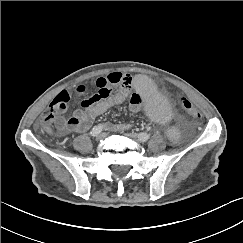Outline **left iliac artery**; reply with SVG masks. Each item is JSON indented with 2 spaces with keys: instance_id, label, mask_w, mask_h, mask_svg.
Returning <instances> with one entry per match:
<instances>
[{
  "instance_id": "obj_1",
  "label": "left iliac artery",
  "mask_w": 243,
  "mask_h": 243,
  "mask_svg": "<svg viewBox=\"0 0 243 243\" xmlns=\"http://www.w3.org/2000/svg\"><path fill=\"white\" fill-rule=\"evenodd\" d=\"M138 137H139L140 141L145 142L150 138V134L146 133V132H142V133H139Z\"/></svg>"
}]
</instances>
